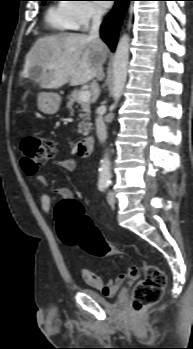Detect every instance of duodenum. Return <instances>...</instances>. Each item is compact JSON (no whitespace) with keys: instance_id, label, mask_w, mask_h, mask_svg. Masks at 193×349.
Instances as JSON below:
<instances>
[{"instance_id":"duodenum-1","label":"duodenum","mask_w":193,"mask_h":349,"mask_svg":"<svg viewBox=\"0 0 193 349\" xmlns=\"http://www.w3.org/2000/svg\"><path fill=\"white\" fill-rule=\"evenodd\" d=\"M93 147V139L91 137H85L78 143L76 153L79 156H88L93 151Z\"/></svg>"}]
</instances>
